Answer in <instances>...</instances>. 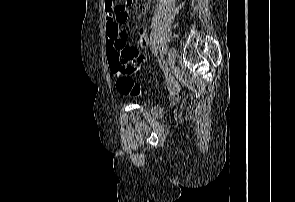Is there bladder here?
<instances>
[{"mask_svg": "<svg viewBox=\"0 0 295 202\" xmlns=\"http://www.w3.org/2000/svg\"><path fill=\"white\" fill-rule=\"evenodd\" d=\"M149 114L154 117H162L164 115V110L158 105H153L149 108Z\"/></svg>", "mask_w": 295, "mask_h": 202, "instance_id": "bladder-1", "label": "bladder"}]
</instances>
